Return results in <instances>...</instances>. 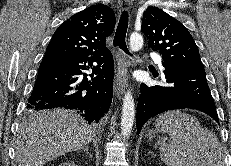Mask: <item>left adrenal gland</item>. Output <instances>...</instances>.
<instances>
[{"label": "left adrenal gland", "instance_id": "obj_1", "mask_svg": "<svg viewBox=\"0 0 231 166\" xmlns=\"http://www.w3.org/2000/svg\"><path fill=\"white\" fill-rule=\"evenodd\" d=\"M148 154H152V152H148Z\"/></svg>", "mask_w": 231, "mask_h": 166}]
</instances>
